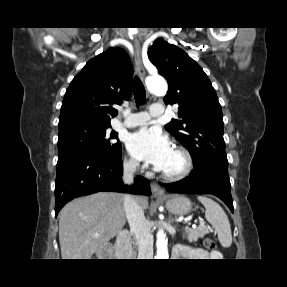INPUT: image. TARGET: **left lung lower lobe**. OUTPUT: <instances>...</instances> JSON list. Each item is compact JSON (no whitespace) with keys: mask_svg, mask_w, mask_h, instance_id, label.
Here are the masks:
<instances>
[{"mask_svg":"<svg viewBox=\"0 0 287 287\" xmlns=\"http://www.w3.org/2000/svg\"><path fill=\"white\" fill-rule=\"evenodd\" d=\"M160 184L170 193L215 195L219 197L232 212L234 210L228 173L207 171L197 175L190 174L179 182Z\"/></svg>","mask_w":287,"mask_h":287,"instance_id":"1","label":"left lung lower lobe"}]
</instances>
